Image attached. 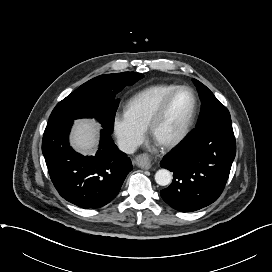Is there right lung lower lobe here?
Masks as SVG:
<instances>
[{"label": "right lung lower lobe", "instance_id": "obj_1", "mask_svg": "<svg viewBox=\"0 0 272 272\" xmlns=\"http://www.w3.org/2000/svg\"><path fill=\"white\" fill-rule=\"evenodd\" d=\"M72 124L67 120L45 129L42 152L51 180L59 194L78 207H102L118 194L132 170L131 160L105 129L95 156L76 153L68 141Z\"/></svg>", "mask_w": 272, "mask_h": 272}]
</instances>
